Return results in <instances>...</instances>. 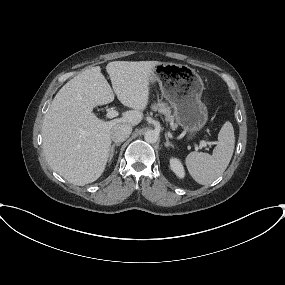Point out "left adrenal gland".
Here are the masks:
<instances>
[{"instance_id":"obj_1","label":"left adrenal gland","mask_w":285,"mask_h":285,"mask_svg":"<svg viewBox=\"0 0 285 285\" xmlns=\"http://www.w3.org/2000/svg\"><path fill=\"white\" fill-rule=\"evenodd\" d=\"M165 139H166L165 147L166 148H169V147L174 148V145L169 141L167 135H165Z\"/></svg>"}]
</instances>
